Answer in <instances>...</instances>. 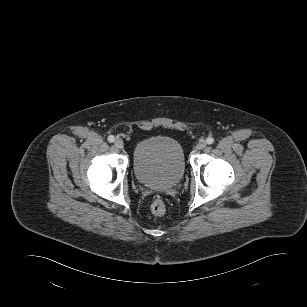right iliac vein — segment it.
Masks as SVG:
<instances>
[{"label":"right iliac vein","instance_id":"63e3f726","mask_svg":"<svg viewBox=\"0 0 307 307\" xmlns=\"http://www.w3.org/2000/svg\"><path fill=\"white\" fill-rule=\"evenodd\" d=\"M115 146H116L118 149H123L124 143H123V141H122L121 139H117V140L115 141Z\"/></svg>","mask_w":307,"mask_h":307}]
</instances>
